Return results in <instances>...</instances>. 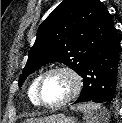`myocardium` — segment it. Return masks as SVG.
<instances>
[{"mask_svg": "<svg viewBox=\"0 0 122 123\" xmlns=\"http://www.w3.org/2000/svg\"><path fill=\"white\" fill-rule=\"evenodd\" d=\"M52 73H65L66 75H68L72 81V88L69 94L61 101L56 102V103H47L43 100L41 91H42V85H43L45 78ZM82 86H83V79L78 71L66 65L56 66V67L48 69L43 74H41L40 79L37 83V87H36V96H37V99L40 105L47 107V108H58V107L68 104L75 97H77L82 89Z\"/></svg>", "mask_w": 122, "mask_h": 123, "instance_id": "1", "label": "myocardium"}]
</instances>
